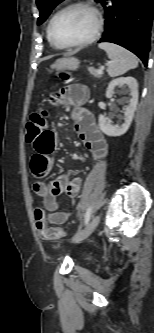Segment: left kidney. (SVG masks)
<instances>
[{
  "instance_id": "obj_1",
  "label": "left kidney",
  "mask_w": 154,
  "mask_h": 333,
  "mask_svg": "<svg viewBox=\"0 0 154 333\" xmlns=\"http://www.w3.org/2000/svg\"><path fill=\"white\" fill-rule=\"evenodd\" d=\"M118 85H127L130 89L131 97L127 100L128 105L125 107L124 122L122 124H114L109 117L102 114L99 115V128L108 136H121L128 131L138 103V83L133 77H120L112 80L108 84L106 97H112L114 89Z\"/></svg>"
}]
</instances>
